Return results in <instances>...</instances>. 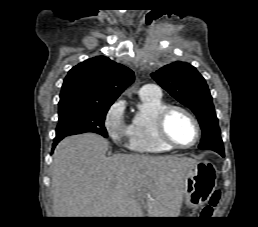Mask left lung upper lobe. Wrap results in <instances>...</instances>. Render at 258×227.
<instances>
[{
    "instance_id": "5c2ea615",
    "label": "left lung upper lobe",
    "mask_w": 258,
    "mask_h": 227,
    "mask_svg": "<svg viewBox=\"0 0 258 227\" xmlns=\"http://www.w3.org/2000/svg\"><path fill=\"white\" fill-rule=\"evenodd\" d=\"M176 100L190 108L202 128L200 149L224 152L218 119L205 79L188 63L175 62L151 74Z\"/></svg>"
}]
</instances>
